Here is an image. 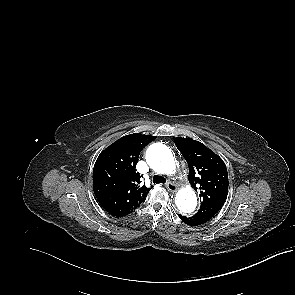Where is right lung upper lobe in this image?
Wrapping results in <instances>:
<instances>
[{
  "instance_id": "obj_1",
  "label": "right lung upper lobe",
  "mask_w": 295,
  "mask_h": 295,
  "mask_svg": "<svg viewBox=\"0 0 295 295\" xmlns=\"http://www.w3.org/2000/svg\"><path fill=\"white\" fill-rule=\"evenodd\" d=\"M155 136L126 135L98 156L93 169L94 194L101 206L114 216H125L145 200L150 188L136 172L141 150Z\"/></svg>"
}]
</instances>
